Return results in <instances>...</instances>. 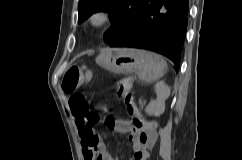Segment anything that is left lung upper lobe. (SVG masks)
<instances>
[{
  "label": "left lung upper lobe",
  "mask_w": 242,
  "mask_h": 160,
  "mask_svg": "<svg viewBox=\"0 0 242 160\" xmlns=\"http://www.w3.org/2000/svg\"><path fill=\"white\" fill-rule=\"evenodd\" d=\"M149 0H80L78 22L81 23L98 11H108L112 21L105 34V41L111 43L125 35L141 15Z\"/></svg>",
  "instance_id": "obj_1"
}]
</instances>
